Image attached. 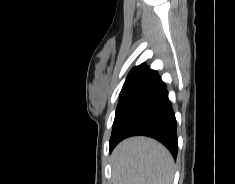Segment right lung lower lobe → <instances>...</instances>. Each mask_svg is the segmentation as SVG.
Here are the masks:
<instances>
[{"mask_svg":"<svg viewBox=\"0 0 235 184\" xmlns=\"http://www.w3.org/2000/svg\"><path fill=\"white\" fill-rule=\"evenodd\" d=\"M177 123L166 84L150 70L140 83L126 90L117 106L110 153L123 139L144 135L161 142L176 158Z\"/></svg>","mask_w":235,"mask_h":184,"instance_id":"1","label":"right lung lower lobe"}]
</instances>
